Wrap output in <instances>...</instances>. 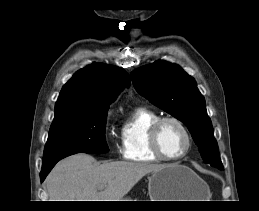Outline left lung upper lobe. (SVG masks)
<instances>
[{
	"label": "left lung upper lobe",
	"mask_w": 259,
	"mask_h": 211,
	"mask_svg": "<svg viewBox=\"0 0 259 211\" xmlns=\"http://www.w3.org/2000/svg\"><path fill=\"white\" fill-rule=\"evenodd\" d=\"M131 78L141 95L188 127L204 162L223 168L205 99L190 75L159 60L134 71Z\"/></svg>",
	"instance_id": "5c2ea615"
}]
</instances>
